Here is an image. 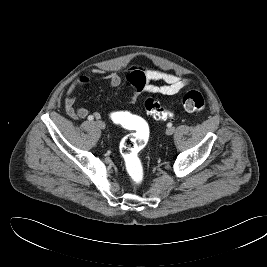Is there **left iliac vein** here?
Listing matches in <instances>:
<instances>
[{"instance_id":"left-iliac-vein-1","label":"left iliac vein","mask_w":267,"mask_h":267,"mask_svg":"<svg viewBox=\"0 0 267 267\" xmlns=\"http://www.w3.org/2000/svg\"><path fill=\"white\" fill-rule=\"evenodd\" d=\"M175 132V129L173 127H169L166 130V134L167 135H172Z\"/></svg>"}]
</instances>
